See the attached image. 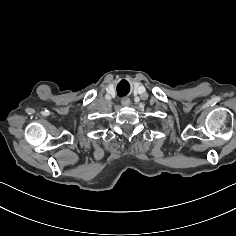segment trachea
<instances>
[{
	"label": "trachea",
	"instance_id": "1",
	"mask_svg": "<svg viewBox=\"0 0 236 236\" xmlns=\"http://www.w3.org/2000/svg\"><path fill=\"white\" fill-rule=\"evenodd\" d=\"M118 94H119L120 96L125 95V93H122V92H119V91H118Z\"/></svg>",
	"mask_w": 236,
	"mask_h": 236
}]
</instances>
